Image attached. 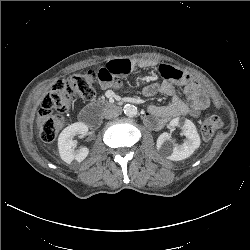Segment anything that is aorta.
Segmentation results:
<instances>
[{"label":"aorta","instance_id":"1","mask_svg":"<svg viewBox=\"0 0 250 250\" xmlns=\"http://www.w3.org/2000/svg\"><path fill=\"white\" fill-rule=\"evenodd\" d=\"M123 111L128 117H134L137 115V108L131 104H126L123 108Z\"/></svg>","mask_w":250,"mask_h":250}]
</instances>
